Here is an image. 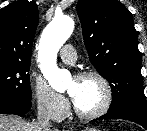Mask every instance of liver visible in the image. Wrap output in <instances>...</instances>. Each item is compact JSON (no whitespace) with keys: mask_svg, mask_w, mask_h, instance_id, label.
<instances>
[{"mask_svg":"<svg viewBox=\"0 0 147 131\" xmlns=\"http://www.w3.org/2000/svg\"><path fill=\"white\" fill-rule=\"evenodd\" d=\"M0 131H43L36 122H26L13 115L0 114ZM46 131H52L50 128Z\"/></svg>","mask_w":147,"mask_h":131,"instance_id":"1","label":"liver"}]
</instances>
